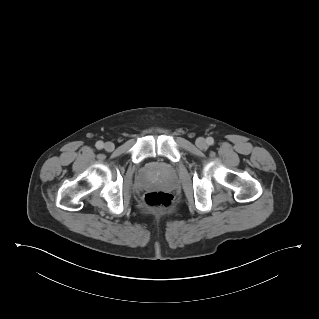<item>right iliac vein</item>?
I'll return each mask as SVG.
<instances>
[{
    "instance_id": "1",
    "label": "right iliac vein",
    "mask_w": 319,
    "mask_h": 319,
    "mask_svg": "<svg viewBox=\"0 0 319 319\" xmlns=\"http://www.w3.org/2000/svg\"><path fill=\"white\" fill-rule=\"evenodd\" d=\"M114 144L112 142H106L104 145V148L106 151H113L114 150Z\"/></svg>"
}]
</instances>
